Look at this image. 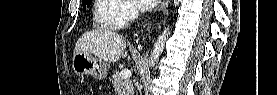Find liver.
I'll use <instances>...</instances> for the list:
<instances>
[{
    "label": "liver",
    "mask_w": 277,
    "mask_h": 95,
    "mask_svg": "<svg viewBox=\"0 0 277 95\" xmlns=\"http://www.w3.org/2000/svg\"><path fill=\"white\" fill-rule=\"evenodd\" d=\"M126 48L125 39L111 31L96 30L84 33L76 42L74 55L79 52H86L97 56L104 62H117L124 54Z\"/></svg>",
    "instance_id": "liver-1"
}]
</instances>
